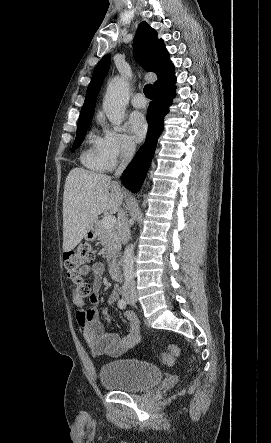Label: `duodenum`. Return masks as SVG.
<instances>
[{"mask_svg": "<svg viewBox=\"0 0 271 443\" xmlns=\"http://www.w3.org/2000/svg\"><path fill=\"white\" fill-rule=\"evenodd\" d=\"M109 273L110 275L117 279L120 277V267L117 261L112 260L109 264Z\"/></svg>", "mask_w": 271, "mask_h": 443, "instance_id": "obj_1", "label": "duodenum"}]
</instances>
